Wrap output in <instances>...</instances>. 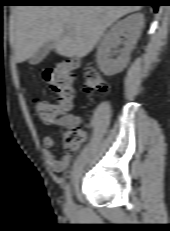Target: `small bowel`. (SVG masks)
Returning a JSON list of instances; mask_svg holds the SVG:
<instances>
[{"instance_id": "obj_1", "label": "small bowel", "mask_w": 170, "mask_h": 231, "mask_svg": "<svg viewBox=\"0 0 170 231\" xmlns=\"http://www.w3.org/2000/svg\"><path fill=\"white\" fill-rule=\"evenodd\" d=\"M80 123H81V118L79 116L71 114L66 111L49 124L68 128L71 126H79ZM43 145H44V156L48 166L54 172H62L63 170H65L70 164L72 160V152H74L76 148L69 149V152L61 157H56L54 152L52 151L53 147L55 146V140L52 136L50 135L45 136L43 139Z\"/></svg>"}]
</instances>
